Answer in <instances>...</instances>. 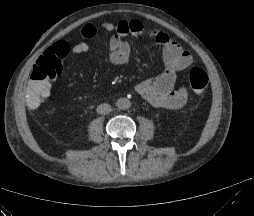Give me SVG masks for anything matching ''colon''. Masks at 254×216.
<instances>
[{
  "instance_id": "colon-1",
  "label": "colon",
  "mask_w": 254,
  "mask_h": 216,
  "mask_svg": "<svg viewBox=\"0 0 254 216\" xmlns=\"http://www.w3.org/2000/svg\"><path fill=\"white\" fill-rule=\"evenodd\" d=\"M59 48L64 50L65 45L60 44ZM64 58L62 52L48 50L37 60L23 90L22 102L27 110L37 112L45 107L51 80L62 72ZM189 82L196 94H202L208 84V75L204 69L193 67L189 72Z\"/></svg>"
}]
</instances>
